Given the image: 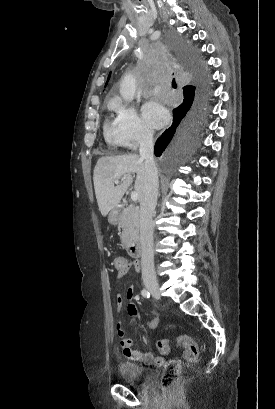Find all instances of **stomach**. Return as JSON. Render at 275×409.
<instances>
[{"mask_svg":"<svg viewBox=\"0 0 275 409\" xmlns=\"http://www.w3.org/2000/svg\"><path fill=\"white\" fill-rule=\"evenodd\" d=\"M120 219V209L118 207H114L112 209L111 213L108 215V223L110 225H118Z\"/></svg>","mask_w":275,"mask_h":409,"instance_id":"0dacf381","label":"stomach"}]
</instances>
